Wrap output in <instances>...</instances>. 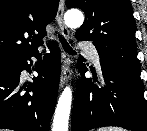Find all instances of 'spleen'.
Masks as SVG:
<instances>
[{
	"label": "spleen",
	"mask_w": 147,
	"mask_h": 131,
	"mask_svg": "<svg viewBox=\"0 0 147 131\" xmlns=\"http://www.w3.org/2000/svg\"><path fill=\"white\" fill-rule=\"evenodd\" d=\"M99 131H125V130L119 127H105L100 129Z\"/></svg>",
	"instance_id": "obj_1"
}]
</instances>
